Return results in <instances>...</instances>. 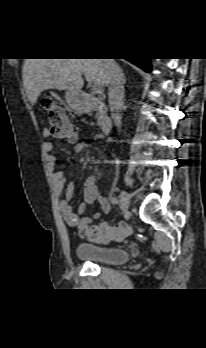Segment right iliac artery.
Instances as JSON below:
<instances>
[{
    "label": "right iliac artery",
    "instance_id": "right-iliac-artery-1",
    "mask_svg": "<svg viewBox=\"0 0 206 348\" xmlns=\"http://www.w3.org/2000/svg\"><path fill=\"white\" fill-rule=\"evenodd\" d=\"M111 203L117 204L118 203V199L116 197L111 198Z\"/></svg>",
    "mask_w": 206,
    "mask_h": 348
}]
</instances>
